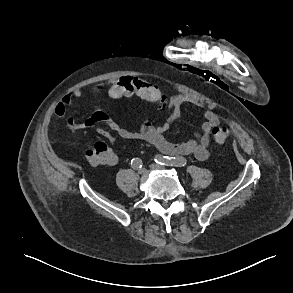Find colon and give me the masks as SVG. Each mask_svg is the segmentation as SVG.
<instances>
[{
    "instance_id": "colon-1",
    "label": "colon",
    "mask_w": 293,
    "mask_h": 293,
    "mask_svg": "<svg viewBox=\"0 0 293 293\" xmlns=\"http://www.w3.org/2000/svg\"><path fill=\"white\" fill-rule=\"evenodd\" d=\"M140 96L145 97L149 100H155L157 94L147 90H141L139 92ZM229 136V129L226 126H215L212 129V137L214 141L218 144L224 143ZM85 159L88 163L94 166H108L114 159L115 154L103 142H97L89 150L85 152Z\"/></svg>"
}]
</instances>
